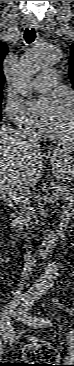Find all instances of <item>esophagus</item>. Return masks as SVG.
I'll return each mask as SVG.
<instances>
[{"mask_svg": "<svg viewBox=\"0 0 74 366\" xmlns=\"http://www.w3.org/2000/svg\"><path fill=\"white\" fill-rule=\"evenodd\" d=\"M27 26L30 28H38V21L31 19L27 22Z\"/></svg>", "mask_w": 74, "mask_h": 366, "instance_id": "esophagus-1", "label": "esophagus"}]
</instances>
